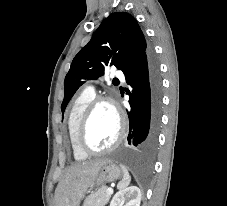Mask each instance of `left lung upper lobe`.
<instances>
[{
  "instance_id": "5c2ea615",
  "label": "left lung upper lobe",
  "mask_w": 227,
  "mask_h": 206,
  "mask_svg": "<svg viewBox=\"0 0 227 206\" xmlns=\"http://www.w3.org/2000/svg\"><path fill=\"white\" fill-rule=\"evenodd\" d=\"M148 50L136 19L128 13H112L73 59L64 81L62 113L77 89L87 80L97 79L104 74L107 66L113 65L125 74Z\"/></svg>"
}]
</instances>
